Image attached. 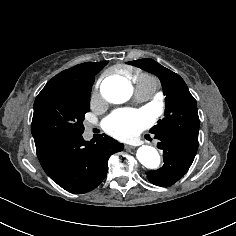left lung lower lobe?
<instances>
[{
	"instance_id": "1",
	"label": "left lung lower lobe",
	"mask_w": 236,
	"mask_h": 236,
	"mask_svg": "<svg viewBox=\"0 0 236 236\" xmlns=\"http://www.w3.org/2000/svg\"><path fill=\"white\" fill-rule=\"evenodd\" d=\"M157 139V146L164 153V165L147 172V178L154 185L169 187L190 168L198 149V139L173 133L162 134Z\"/></svg>"
}]
</instances>
